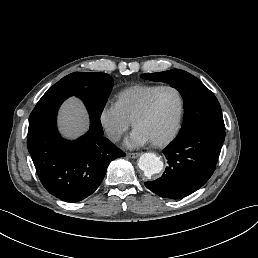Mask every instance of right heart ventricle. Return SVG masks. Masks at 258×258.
I'll return each mask as SVG.
<instances>
[{
  "mask_svg": "<svg viewBox=\"0 0 258 258\" xmlns=\"http://www.w3.org/2000/svg\"><path fill=\"white\" fill-rule=\"evenodd\" d=\"M154 84H137L121 90L115 105L124 117L133 124L145 106L148 97L158 88Z\"/></svg>",
  "mask_w": 258,
  "mask_h": 258,
  "instance_id": "1",
  "label": "right heart ventricle"
}]
</instances>
